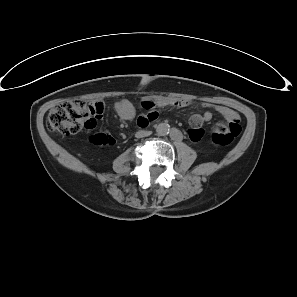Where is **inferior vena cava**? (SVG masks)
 Returning a JSON list of instances; mask_svg holds the SVG:
<instances>
[{"mask_svg":"<svg viewBox=\"0 0 297 297\" xmlns=\"http://www.w3.org/2000/svg\"><path fill=\"white\" fill-rule=\"evenodd\" d=\"M151 134H152L151 131L140 130V131L136 132L135 137L142 138V137L149 136Z\"/></svg>","mask_w":297,"mask_h":297,"instance_id":"inferior-vena-cava-1","label":"inferior vena cava"}]
</instances>
